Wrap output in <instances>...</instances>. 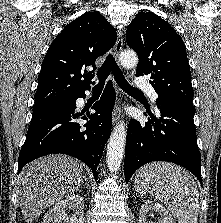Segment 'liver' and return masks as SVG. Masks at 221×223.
Wrapping results in <instances>:
<instances>
[{"mask_svg":"<svg viewBox=\"0 0 221 223\" xmlns=\"http://www.w3.org/2000/svg\"><path fill=\"white\" fill-rule=\"evenodd\" d=\"M84 179L83 164L66 155L52 154L25 165L17 179L24 220L33 222L48 207L73 195Z\"/></svg>","mask_w":221,"mask_h":223,"instance_id":"1","label":"liver"}]
</instances>
